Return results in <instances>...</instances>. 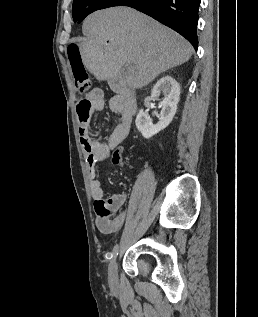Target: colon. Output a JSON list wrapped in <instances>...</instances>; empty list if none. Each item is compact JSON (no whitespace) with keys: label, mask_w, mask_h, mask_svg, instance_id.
I'll return each mask as SVG.
<instances>
[{"label":"colon","mask_w":258,"mask_h":317,"mask_svg":"<svg viewBox=\"0 0 258 317\" xmlns=\"http://www.w3.org/2000/svg\"><path fill=\"white\" fill-rule=\"evenodd\" d=\"M67 56L73 72L76 89L80 94H85L91 88V77L83 62L79 45L71 43L67 48ZM115 155L121 158V150L118 149Z\"/></svg>","instance_id":"1"}]
</instances>
